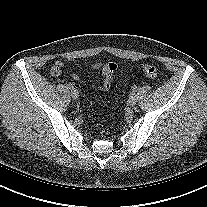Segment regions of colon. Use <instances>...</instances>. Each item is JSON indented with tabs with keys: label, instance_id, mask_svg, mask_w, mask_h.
I'll return each mask as SVG.
<instances>
[{
	"label": "colon",
	"instance_id": "5ec220e1",
	"mask_svg": "<svg viewBox=\"0 0 207 207\" xmlns=\"http://www.w3.org/2000/svg\"><path fill=\"white\" fill-rule=\"evenodd\" d=\"M138 68L149 78L154 79L158 76V69L152 64H140Z\"/></svg>",
	"mask_w": 207,
	"mask_h": 207
}]
</instances>
